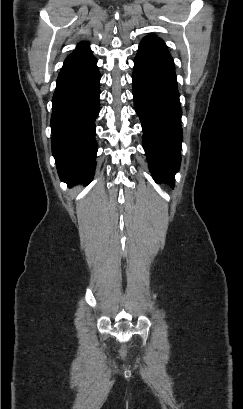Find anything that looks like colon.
Wrapping results in <instances>:
<instances>
[{
	"mask_svg": "<svg viewBox=\"0 0 243 409\" xmlns=\"http://www.w3.org/2000/svg\"><path fill=\"white\" fill-rule=\"evenodd\" d=\"M127 350H128L127 346H124L120 351L121 355H125L127 353Z\"/></svg>",
	"mask_w": 243,
	"mask_h": 409,
	"instance_id": "5ec220e1",
	"label": "colon"
}]
</instances>
